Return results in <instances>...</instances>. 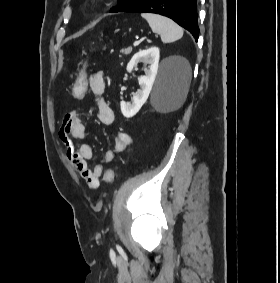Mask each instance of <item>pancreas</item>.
Here are the masks:
<instances>
[{
  "label": "pancreas",
  "instance_id": "1",
  "mask_svg": "<svg viewBox=\"0 0 280 283\" xmlns=\"http://www.w3.org/2000/svg\"><path fill=\"white\" fill-rule=\"evenodd\" d=\"M132 52V47H127L121 50V53L124 55H129Z\"/></svg>",
  "mask_w": 280,
  "mask_h": 283
}]
</instances>
